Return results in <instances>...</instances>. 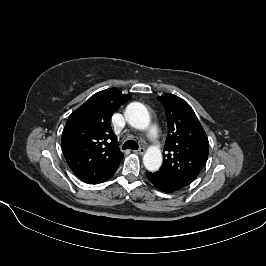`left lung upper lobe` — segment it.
<instances>
[{
  "label": "left lung upper lobe",
  "instance_id": "5c2ea615",
  "mask_svg": "<svg viewBox=\"0 0 266 266\" xmlns=\"http://www.w3.org/2000/svg\"><path fill=\"white\" fill-rule=\"evenodd\" d=\"M165 108L169 132L164 161L156 173L169 183L183 188L192 183L205 166L209 142L191 106L180 97H157Z\"/></svg>",
  "mask_w": 266,
  "mask_h": 266
}]
</instances>
